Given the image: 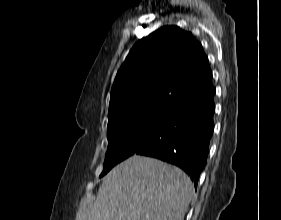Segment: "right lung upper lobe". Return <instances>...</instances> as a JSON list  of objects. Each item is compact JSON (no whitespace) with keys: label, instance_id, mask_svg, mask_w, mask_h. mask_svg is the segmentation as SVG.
Masks as SVG:
<instances>
[{"label":"right lung upper lobe","instance_id":"cb5924a9","mask_svg":"<svg viewBox=\"0 0 281 220\" xmlns=\"http://www.w3.org/2000/svg\"><path fill=\"white\" fill-rule=\"evenodd\" d=\"M213 86L202 45L178 26H164L137 42L115 77L108 124L127 115L169 114L186 97Z\"/></svg>","mask_w":281,"mask_h":220}]
</instances>
